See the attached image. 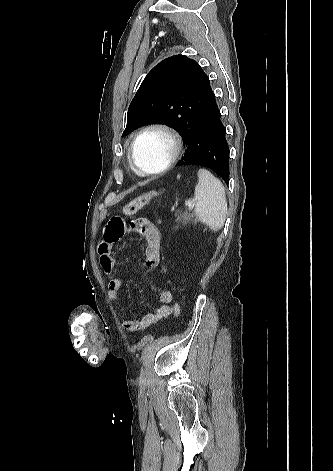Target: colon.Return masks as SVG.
Segmentation results:
<instances>
[{"instance_id": "1", "label": "colon", "mask_w": 333, "mask_h": 471, "mask_svg": "<svg viewBox=\"0 0 333 471\" xmlns=\"http://www.w3.org/2000/svg\"><path fill=\"white\" fill-rule=\"evenodd\" d=\"M158 193L159 192L157 190H150L142 194L141 196L125 204V206L123 207V213L126 216L134 215L140 209H142L145 205H147L156 195H158ZM173 310H174V317L178 318L180 314V305L178 302L174 303Z\"/></svg>"}]
</instances>
